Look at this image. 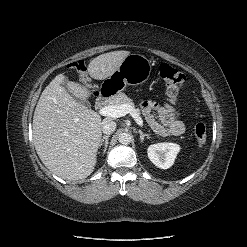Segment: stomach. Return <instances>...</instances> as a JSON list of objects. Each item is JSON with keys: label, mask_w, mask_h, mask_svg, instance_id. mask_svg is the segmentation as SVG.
<instances>
[{"label": "stomach", "mask_w": 247, "mask_h": 247, "mask_svg": "<svg viewBox=\"0 0 247 247\" xmlns=\"http://www.w3.org/2000/svg\"><path fill=\"white\" fill-rule=\"evenodd\" d=\"M151 61L141 54H129L119 68L105 79L102 89L111 94L120 93L127 85H139L146 82L151 74Z\"/></svg>", "instance_id": "stomach-1"}]
</instances>
